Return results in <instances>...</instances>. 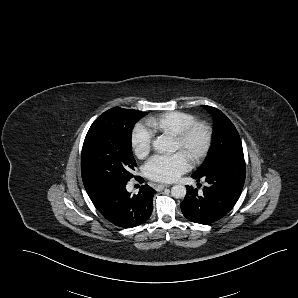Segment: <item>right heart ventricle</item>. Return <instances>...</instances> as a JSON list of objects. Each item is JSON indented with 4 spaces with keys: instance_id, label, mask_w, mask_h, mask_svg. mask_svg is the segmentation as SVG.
<instances>
[{
    "instance_id": "right-heart-ventricle-1",
    "label": "right heart ventricle",
    "mask_w": 298,
    "mask_h": 298,
    "mask_svg": "<svg viewBox=\"0 0 298 298\" xmlns=\"http://www.w3.org/2000/svg\"><path fill=\"white\" fill-rule=\"evenodd\" d=\"M196 121V117L190 113L174 111L162 114L156 118L145 120L146 125L152 130L167 135L173 130Z\"/></svg>"
}]
</instances>
